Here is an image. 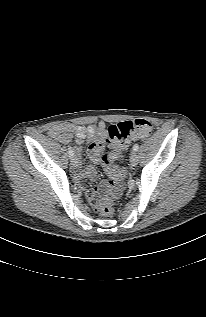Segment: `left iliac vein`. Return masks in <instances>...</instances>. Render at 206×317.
Segmentation results:
<instances>
[{
  "label": "left iliac vein",
  "mask_w": 206,
  "mask_h": 317,
  "mask_svg": "<svg viewBox=\"0 0 206 317\" xmlns=\"http://www.w3.org/2000/svg\"><path fill=\"white\" fill-rule=\"evenodd\" d=\"M138 163V155L136 152H133L130 156V165L132 167L136 166Z\"/></svg>",
  "instance_id": "1"
}]
</instances>
